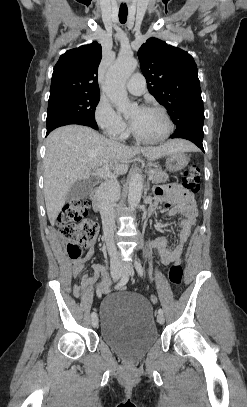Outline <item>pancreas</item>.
<instances>
[{
	"label": "pancreas",
	"mask_w": 247,
	"mask_h": 407,
	"mask_svg": "<svg viewBox=\"0 0 247 407\" xmlns=\"http://www.w3.org/2000/svg\"><path fill=\"white\" fill-rule=\"evenodd\" d=\"M148 173L149 175L153 176L152 182L155 184L163 183L168 180V174L162 169L159 168L150 169Z\"/></svg>",
	"instance_id": "pancreas-1"
}]
</instances>
